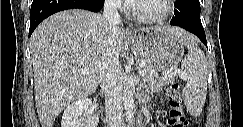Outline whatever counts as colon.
<instances>
[{"instance_id":"5ec220e1","label":"colon","mask_w":243,"mask_h":127,"mask_svg":"<svg viewBox=\"0 0 243 127\" xmlns=\"http://www.w3.org/2000/svg\"><path fill=\"white\" fill-rule=\"evenodd\" d=\"M167 97L171 110L167 119V125L170 127H186L189 125L186 117L180 86L178 83H172L167 91Z\"/></svg>"}]
</instances>
